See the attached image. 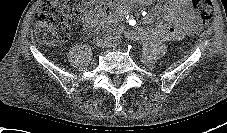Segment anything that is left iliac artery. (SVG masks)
<instances>
[{
	"label": "left iliac artery",
	"instance_id": "44dca946",
	"mask_svg": "<svg viewBox=\"0 0 227 133\" xmlns=\"http://www.w3.org/2000/svg\"><path fill=\"white\" fill-rule=\"evenodd\" d=\"M113 39L115 45H119L121 43V38L119 35H116Z\"/></svg>",
	"mask_w": 227,
	"mask_h": 133
}]
</instances>
